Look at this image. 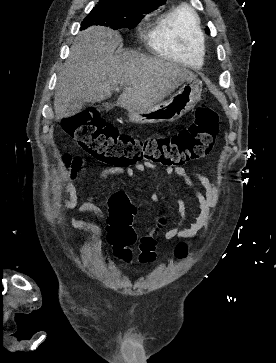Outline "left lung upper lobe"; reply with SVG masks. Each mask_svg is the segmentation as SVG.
Returning <instances> with one entry per match:
<instances>
[{
    "label": "left lung upper lobe",
    "mask_w": 276,
    "mask_h": 363,
    "mask_svg": "<svg viewBox=\"0 0 276 363\" xmlns=\"http://www.w3.org/2000/svg\"><path fill=\"white\" fill-rule=\"evenodd\" d=\"M206 32H207V33H210V30H209L208 28H206Z\"/></svg>",
    "instance_id": "left-lung-upper-lobe-1"
}]
</instances>
